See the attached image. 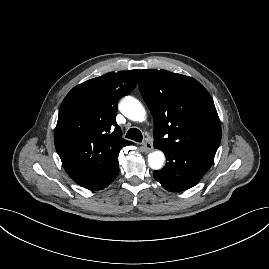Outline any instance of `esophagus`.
<instances>
[{
    "instance_id": "obj_1",
    "label": "esophagus",
    "mask_w": 269,
    "mask_h": 269,
    "mask_svg": "<svg viewBox=\"0 0 269 269\" xmlns=\"http://www.w3.org/2000/svg\"><path fill=\"white\" fill-rule=\"evenodd\" d=\"M142 145L146 152H150L153 149V144L149 139H146Z\"/></svg>"
}]
</instances>
